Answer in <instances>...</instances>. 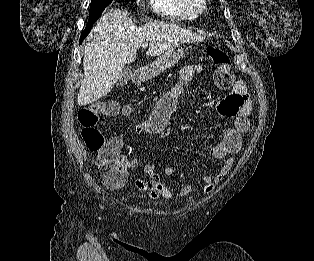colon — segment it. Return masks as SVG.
<instances>
[{"label":"colon","instance_id":"1","mask_svg":"<svg viewBox=\"0 0 314 261\" xmlns=\"http://www.w3.org/2000/svg\"><path fill=\"white\" fill-rule=\"evenodd\" d=\"M206 54L221 69L217 76V84L220 87L232 84L233 79L229 72L230 60L227 54L216 46H208ZM117 111V103L109 100L82 106L77 113L82 127L83 141L88 150L96 154L97 166L104 171L103 181L111 188H119L125 182V170L120 166L116 169L111 168V162L121 146L116 138H106L97 125L103 115H113Z\"/></svg>","mask_w":314,"mask_h":261}]
</instances>
